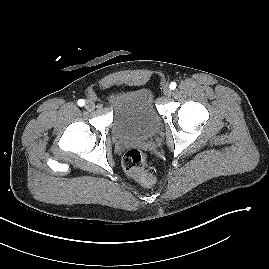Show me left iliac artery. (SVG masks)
Here are the masks:
<instances>
[{
	"instance_id": "obj_1",
	"label": "left iliac artery",
	"mask_w": 269,
	"mask_h": 269,
	"mask_svg": "<svg viewBox=\"0 0 269 269\" xmlns=\"http://www.w3.org/2000/svg\"><path fill=\"white\" fill-rule=\"evenodd\" d=\"M177 84L175 82H171L169 87L171 90H174L176 88Z\"/></svg>"
}]
</instances>
